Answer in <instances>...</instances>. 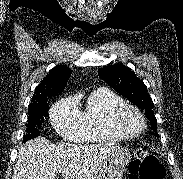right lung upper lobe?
<instances>
[{"mask_svg":"<svg viewBox=\"0 0 183 179\" xmlns=\"http://www.w3.org/2000/svg\"><path fill=\"white\" fill-rule=\"evenodd\" d=\"M70 75L71 70L64 65H58L50 70L41 84L35 88L34 96L29 106L42 104L44 101H48L50 97L62 92Z\"/></svg>","mask_w":183,"mask_h":179,"instance_id":"right-lung-upper-lobe-1","label":"right lung upper lobe"}]
</instances>
